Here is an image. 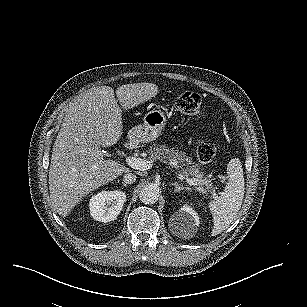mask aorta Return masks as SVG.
Instances as JSON below:
<instances>
[{
  "mask_svg": "<svg viewBox=\"0 0 307 307\" xmlns=\"http://www.w3.org/2000/svg\"><path fill=\"white\" fill-rule=\"evenodd\" d=\"M159 197V191L152 185L143 187L139 193V199L144 204H154Z\"/></svg>",
  "mask_w": 307,
  "mask_h": 307,
  "instance_id": "762f6f07",
  "label": "aorta"
}]
</instances>
